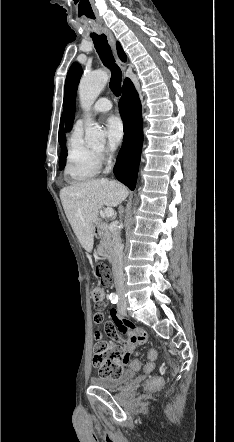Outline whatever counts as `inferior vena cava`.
Here are the masks:
<instances>
[{
    "label": "inferior vena cava",
    "instance_id": "obj_1",
    "mask_svg": "<svg viewBox=\"0 0 234 442\" xmlns=\"http://www.w3.org/2000/svg\"><path fill=\"white\" fill-rule=\"evenodd\" d=\"M112 243H113V262H112V271H113V277H114V283L116 292L119 296V298L123 301H125V277L123 274V265H122V258H123V244L120 236V229L118 227L115 228V230L112 233Z\"/></svg>",
    "mask_w": 234,
    "mask_h": 442
}]
</instances>
